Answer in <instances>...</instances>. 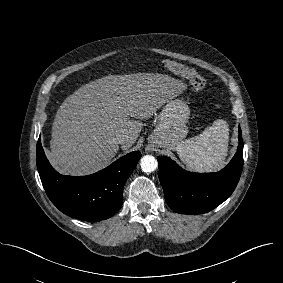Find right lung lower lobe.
<instances>
[{
    "label": "right lung lower lobe",
    "mask_w": 283,
    "mask_h": 283,
    "mask_svg": "<svg viewBox=\"0 0 283 283\" xmlns=\"http://www.w3.org/2000/svg\"><path fill=\"white\" fill-rule=\"evenodd\" d=\"M141 153H129L105 169L88 176H63L48 162L39 138L37 168L52 203L64 214L84 221H101L121 207L123 187Z\"/></svg>",
    "instance_id": "1"
}]
</instances>
